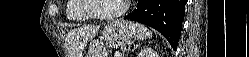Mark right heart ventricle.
<instances>
[{
  "label": "right heart ventricle",
  "instance_id": "obj_1",
  "mask_svg": "<svg viewBox=\"0 0 249 57\" xmlns=\"http://www.w3.org/2000/svg\"><path fill=\"white\" fill-rule=\"evenodd\" d=\"M81 0H69L66 8V17L71 21H85L89 17L80 8Z\"/></svg>",
  "mask_w": 249,
  "mask_h": 57
}]
</instances>
